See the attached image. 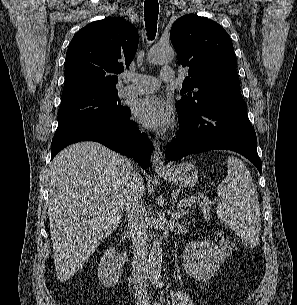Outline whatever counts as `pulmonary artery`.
<instances>
[{
    "label": "pulmonary artery",
    "mask_w": 297,
    "mask_h": 305,
    "mask_svg": "<svg viewBox=\"0 0 297 305\" xmlns=\"http://www.w3.org/2000/svg\"><path fill=\"white\" fill-rule=\"evenodd\" d=\"M126 81L131 84L123 88L122 94L126 96L141 95L151 93L158 89L160 82H173L175 81V73L172 69H162L160 79L143 74L128 73L124 75Z\"/></svg>",
    "instance_id": "1"
}]
</instances>
